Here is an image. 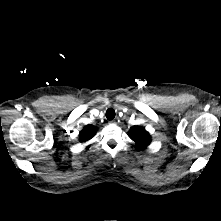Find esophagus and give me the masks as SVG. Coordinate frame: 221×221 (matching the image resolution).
<instances>
[{
    "instance_id": "esophagus-1",
    "label": "esophagus",
    "mask_w": 221,
    "mask_h": 221,
    "mask_svg": "<svg viewBox=\"0 0 221 221\" xmlns=\"http://www.w3.org/2000/svg\"><path fill=\"white\" fill-rule=\"evenodd\" d=\"M110 123L115 124V123H116V121H115V120H112V121H110Z\"/></svg>"
}]
</instances>
